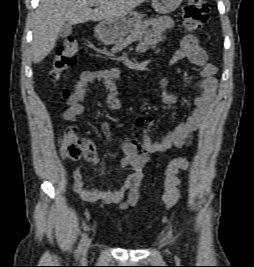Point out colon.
Segmentation results:
<instances>
[{"instance_id": "obj_1", "label": "colon", "mask_w": 254, "mask_h": 267, "mask_svg": "<svg viewBox=\"0 0 254 267\" xmlns=\"http://www.w3.org/2000/svg\"><path fill=\"white\" fill-rule=\"evenodd\" d=\"M183 28L187 31L200 30L209 19V6L205 0H187L182 7ZM78 44L74 39L66 40L60 46L51 64L49 77L53 82L60 81L67 70L76 64V53ZM67 90L63 96L67 97ZM61 156L67 160L78 161L86 159L91 161L96 157V151L90 140L81 137L75 126H68L63 131L60 139ZM189 162L185 158H174L170 160L166 169L165 194L163 205L171 208L179 198V179L177 173L186 170Z\"/></svg>"}]
</instances>
